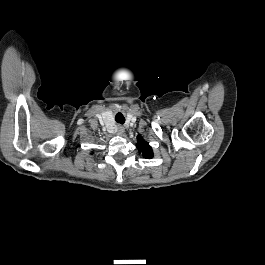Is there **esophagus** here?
I'll use <instances>...</instances> for the list:
<instances>
[{
    "label": "esophagus",
    "instance_id": "34e87169",
    "mask_svg": "<svg viewBox=\"0 0 265 265\" xmlns=\"http://www.w3.org/2000/svg\"><path fill=\"white\" fill-rule=\"evenodd\" d=\"M117 132L118 134H122L124 132V127L122 125L117 126Z\"/></svg>",
    "mask_w": 265,
    "mask_h": 265
}]
</instances>
